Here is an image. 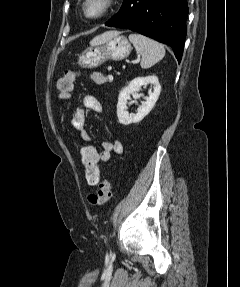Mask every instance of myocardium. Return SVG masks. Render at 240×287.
<instances>
[{
  "label": "myocardium",
  "mask_w": 240,
  "mask_h": 287,
  "mask_svg": "<svg viewBox=\"0 0 240 287\" xmlns=\"http://www.w3.org/2000/svg\"><path fill=\"white\" fill-rule=\"evenodd\" d=\"M89 1L90 0H84L82 3V10H83L84 15L90 19H101L111 11L115 0H101L102 8L95 15H90L87 11V4L89 3Z\"/></svg>",
  "instance_id": "myocardium-1"
}]
</instances>
